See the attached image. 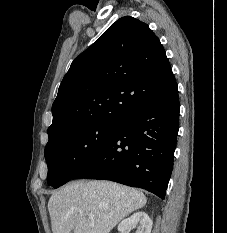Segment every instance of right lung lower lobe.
Returning <instances> with one entry per match:
<instances>
[{"mask_svg":"<svg viewBox=\"0 0 227 233\" xmlns=\"http://www.w3.org/2000/svg\"><path fill=\"white\" fill-rule=\"evenodd\" d=\"M177 83L119 123L115 133L73 179L111 180L165 198L179 130Z\"/></svg>","mask_w":227,"mask_h":233,"instance_id":"right-lung-lower-lobe-1","label":"right lung lower lobe"}]
</instances>
